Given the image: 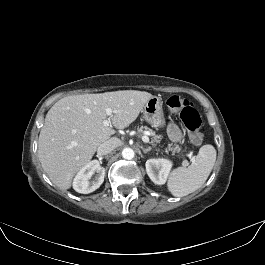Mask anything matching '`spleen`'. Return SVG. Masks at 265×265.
<instances>
[{
  "instance_id": "spleen-1",
  "label": "spleen",
  "mask_w": 265,
  "mask_h": 265,
  "mask_svg": "<svg viewBox=\"0 0 265 265\" xmlns=\"http://www.w3.org/2000/svg\"><path fill=\"white\" fill-rule=\"evenodd\" d=\"M216 161V150L203 145L189 167L174 169L168 180V190L175 197L186 196L199 189L207 180Z\"/></svg>"
}]
</instances>
